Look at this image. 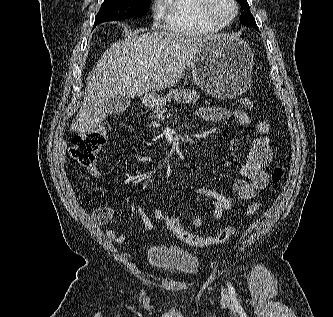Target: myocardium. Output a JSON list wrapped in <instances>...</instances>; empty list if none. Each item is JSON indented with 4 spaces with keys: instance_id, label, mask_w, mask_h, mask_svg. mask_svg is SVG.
I'll use <instances>...</instances> for the list:
<instances>
[{
    "instance_id": "obj_1",
    "label": "myocardium",
    "mask_w": 333,
    "mask_h": 317,
    "mask_svg": "<svg viewBox=\"0 0 333 317\" xmlns=\"http://www.w3.org/2000/svg\"><path fill=\"white\" fill-rule=\"evenodd\" d=\"M213 2L214 0H200L199 12L202 18L209 24L218 28H224L232 24L234 20L237 18L239 13V4L237 0H230L234 9L232 15L226 20H221L213 14L212 11Z\"/></svg>"
}]
</instances>
